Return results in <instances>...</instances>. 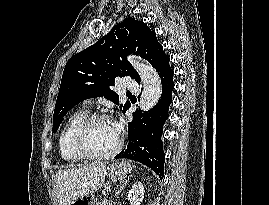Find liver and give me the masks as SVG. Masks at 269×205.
Here are the masks:
<instances>
[{
  "instance_id": "6515ba94",
  "label": "liver",
  "mask_w": 269,
  "mask_h": 205,
  "mask_svg": "<svg viewBox=\"0 0 269 205\" xmlns=\"http://www.w3.org/2000/svg\"><path fill=\"white\" fill-rule=\"evenodd\" d=\"M106 166V162H100L59 170L54 179L59 205H70L76 198L90 195L101 188L106 176Z\"/></svg>"
}]
</instances>
